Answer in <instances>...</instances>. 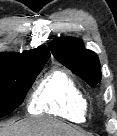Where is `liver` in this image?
<instances>
[{
  "label": "liver",
  "mask_w": 117,
  "mask_h": 136,
  "mask_svg": "<svg viewBox=\"0 0 117 136\" xmlns=\"http://www.w3.org/2000/svg\"><path fill=\"white\" fill-rule=\"evenodd\" d=\"M0 136H91L64 123L35 117L0 127Z\"/></svg>",
  "instance_id": "6515ba94"
}]
</instances>
